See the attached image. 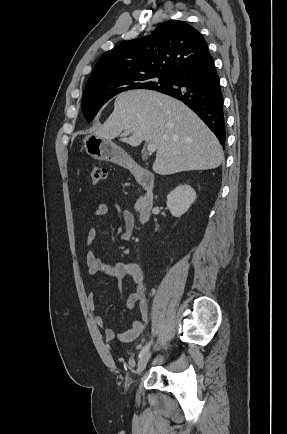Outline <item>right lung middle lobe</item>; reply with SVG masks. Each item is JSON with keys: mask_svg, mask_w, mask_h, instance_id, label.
<instances>
[{"mask_svg": "<svg viewBox=\"0 0 287 434\" xmlns=\"http://www.w3.org/2000/svg\"><path fill=\"white\" fill-rule=\"evenodd\" d=\"M175 77L159 74L141 75L128 78L95 80L87 83L82 98V111L90 122L99 109L120 92L145 88L163 90L172 86Z\"/></svg>", "mask_w": 287, "mask_h": 434, "instance_id": "obj_1", "label": "right lung middle lobe"}]
</instances>
